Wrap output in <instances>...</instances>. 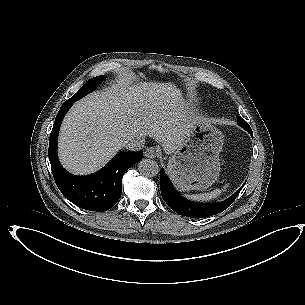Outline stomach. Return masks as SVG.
<instances>
[{
  "label": "stomach",
  "instance_id": "1",
  "mask_svg": "<svg viewBox=\"0 0 305 305\" xmlns=\"http://www.w3.org/2000/svg\"><path fill=\"white\" fill-rule=\"evenodd\" d=\"M223 134L203 119L192 123L186 138L169 158L167 172L181 192L202 191L219 177Z\"/></svg>",
  "mask_w": 305,
  "mask_h": 305
}]
</instances>
